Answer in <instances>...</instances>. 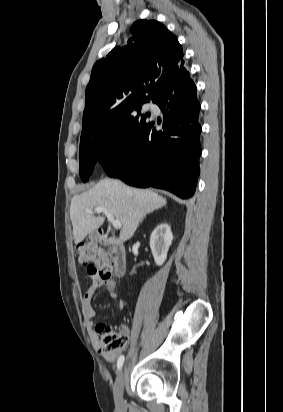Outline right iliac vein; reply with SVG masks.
I'll use <instances>...</instances> for the list:
<instances>
[{"label": "right iliac vein", "instance_id": "obj_1", "mask_svg": "<svg viewBox=\"0 0 283 412\" xmlns=\"http://www.w3.org/2000/svg\"><path fill=\"white\" fill-rule=\"evenodd\" d=\"M124 379H125V368H122L118 374L116 379L113 394H114V401L117 409L122 410L124 408Z\"/></svg>", "mask_w": 283, "mask_h": 412}]
</instances>
